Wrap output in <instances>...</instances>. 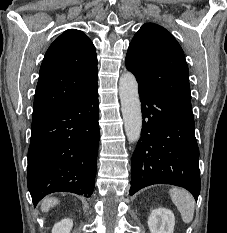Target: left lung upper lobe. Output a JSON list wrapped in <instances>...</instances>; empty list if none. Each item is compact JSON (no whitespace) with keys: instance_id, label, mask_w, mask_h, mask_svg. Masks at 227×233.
<instances>
[{"instance_id":"obj_1","label":"left lung upper lobe","mask_w":227,"mask_h":233,"mask_svg":"<svg viewBox=\"0 0 227 233\" xmlns=\"http://www.w3.org/2000/svg\"><path fill=\"white\" fill-rule=\"evenodd\" d=\"M125 63L136 76L139 86L191 106L184 52L162 26L144 24L129 45Z\"/></svg>"}]
</instances>
